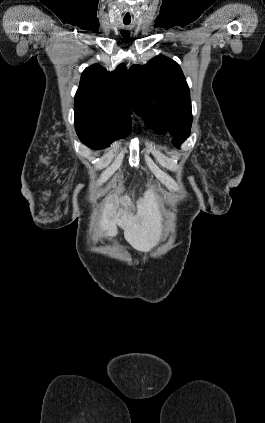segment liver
<instances>
[{"label": "liver", "mask_w": 265, "mask_h": 423, "mask_svg": "<svg viewBox=\"0 0 265 423\" xmlns=\"http://www.w3.org/2000/svg\"><path fill=\"white\" fill-rule=\"evenodd\" d=\"M128 200L109 195L105 199V207L100 220V227L105 236H115L117 226L124 230L126 241L136 250L148 252L160 241L161 215L153 199L138 202L137 216H128L120 210L119 204L126 205Z\"/></svg>", "instance_id": "1"}]
</instances>
